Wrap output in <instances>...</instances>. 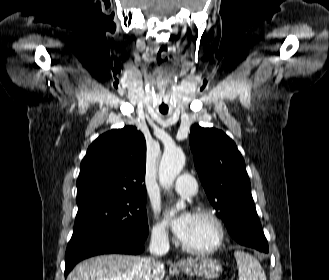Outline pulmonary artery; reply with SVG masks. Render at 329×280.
<instances>
[{"instance_id":"e3ab8cb5","label":"pulmonary artery","mask_w":329,"mask_h":280,"mask_svg":"<svg viewBox=\"0 0 329 280\" xmlns=\"http://www.w3.org/2000/svg\"><path fill=\"white\" fill-rule=\"evenodd\" d=\"M174 189L181 196H192L197 189L195 178L189 174L180 175L176 179Z\"/></svg>"}]
</instances>
